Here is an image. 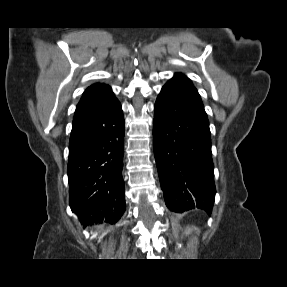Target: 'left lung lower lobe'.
<instances>
[{"mask_svg": "<svg viewBox=\"0 0 287 287\" xmlns=\"http://www.w3.org/2000/svg\"><path fill=\"white\" fill-rule=\"evenodd\" d=\"M153 146L167 207L211 214L216 191L209 121L169 84L156 99Z\"/></svg>", "mask_w": 287, "mask_h": 287, "instance_id": "0a47b994", "label": "left lung lower lobe"}]
</instances>
